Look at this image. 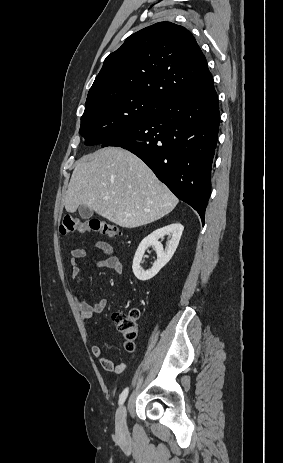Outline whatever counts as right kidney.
Segmentation results:
<instances>
[{
	"mask_svg": "<svg viewBox=\"0 0 283 463\" xmlns=\"http://www.w3.org/2000/svg\"><path fill=\"white\" fill-rule=\"evenodd\" d=\"M183 229L184 227L182 224L173 223L155 230L142 240L135 253L132 264V270L137 279L146 281L153 278L160 271V269L169 262L177 249ZM165 235H168L170 240L167 243V248L164 250L162 244L158 240ZM151 245L154 246L156 250L157 260L154 262L151 269L145 271L141 267L140 263L142 261L145 250Z\"/></svg>",
	"mask_w": 283,
	"mask_h": 463,
	"instance_id": "right-kidney-1",
	"label": "right kidney"
}]
</instances>
